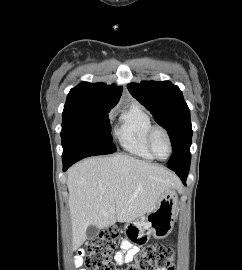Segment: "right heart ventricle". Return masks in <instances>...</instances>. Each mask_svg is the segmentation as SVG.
<instances>
[{"label": "right heart ventricle", "mask_w": 242, "mask_h": 270, "mask_svg": "<svg viewBox=\"0 0 242 270\" xmlns=\"http://www.w3.org/2000/svg\"><path fill=\"white\" fill-rule=\"evenodd\" d=\"M153 126L150 115L138 104H133L121 115L115 136L126 152L146 160H154L147 145L148 133Z\"/></svg>", "instance_id": "e07e8e85"}]
</instances>
